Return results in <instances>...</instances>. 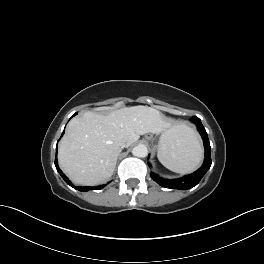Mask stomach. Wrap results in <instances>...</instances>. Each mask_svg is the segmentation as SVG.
<instances>
[{
	"label": "stomach",
	"mask_w": 264,
	"mask_h": 264,
	"mask_svg": "<svg viewBox=\"0 0 264 264\" xmlns=\"http://www.w3.org/2000/svg\"><path fill=\"white\" fill-rule=\"evenodd\" d=\"M169 137H170V136L167 135V132L162 133V135L160 136V139H159V141H158V144L155 145V147L159 150V148H160L164 143H166V142L168 141ZM147 139L152 140L153 137H152V136H148Z\"/></svg>",
	"instance_id": "obj_1"
}]
</instances>
